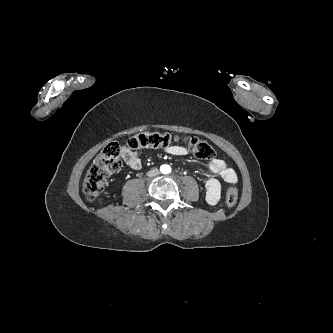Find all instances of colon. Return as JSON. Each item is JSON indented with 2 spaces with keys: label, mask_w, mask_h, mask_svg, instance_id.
I'll return each mask as SVG.
<instances>
[{
  "label": "colon",
  "mask_w": 333,
  "mask_h": 333,
  "mask_svg": "<svg viewBox=\"0 0 333 333\" xmlns=\"http://www.w3.org/2000/svg\"><path fill=\"white\" fill-rule=\"evenodd\" d=\"M173 142H183L189 151L200 160H213L215 150L207 142L196 138H180L169 133L142 132L128 139L124 146L118 142H111L104 147L88 170L84 182L83 192L89 201H95L103 192L107 178L121 167L120 156L123 148L129 150L166 147ZM238 190L235 185L227 189L226 204L229 208L236 205Z\"/></svg>",
  "instance_id": "obj_1"
}]
</instances>
